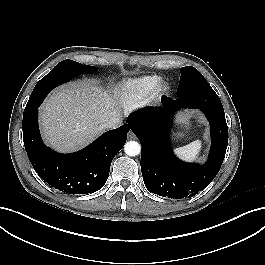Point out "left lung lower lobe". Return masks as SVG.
<instances>
[{
    "label": "left lung lower lobe",
    "mask_w": 265,
    "mask_h": 265,
    "mask_svg": "<svg viewBox=\"0 0 265 265\" xmlns=\"http://www.w3.org/2000/svg\"><path fill=\"white\" fill-rule=\"evenodd\" d=\"M201 95L209 98L211 92ZM162 104L161 109L143 110L128 118V125L142 146L143 180L146 188L159 196L189 198L203 190L220 170L228 145L225 114L167 97ZM182 108L200 109L210 122L212 145L208 161L202 166L179 160L171 149L169 129L175 112Z\"/></svg>",
    "instance_id": "1"
}]
</instances>
